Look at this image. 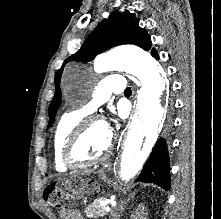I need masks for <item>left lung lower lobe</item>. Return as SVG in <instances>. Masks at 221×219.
<instances>
[{"label":"left lung lower lobe","instance_id":"0a47b994","mask_svg":"<svg viewBox=\"0 0 221 219\" xmlns=\"http://www.w3.org/2000/svg\"><path fill=\"white\" fill-rule=\"evenodd\" d=\"M151 55L159 59L154 48L151 50ZM136 181L155 183L164 189L170 188V164L165 139L160 138L157 141Z\"/></svg>","mask_w":221,"mask_h":219}]
</instances>
